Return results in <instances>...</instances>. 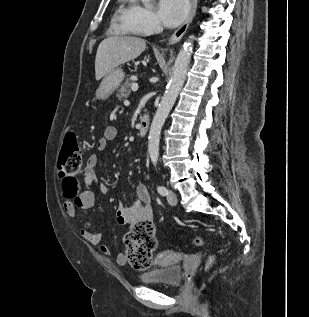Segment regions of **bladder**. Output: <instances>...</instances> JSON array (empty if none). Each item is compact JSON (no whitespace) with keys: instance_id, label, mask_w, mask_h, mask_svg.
<instances>
[{"instance_id":"1","label":"bladder","mask_w":309,"mask_h":317,"mask_svg":"<svg viewBox=\"0 0 309 317\" xmlns=\"http://www.w3.org/2000/svg\"><path fill=\"white\" fill-rule=\"evenodd\" d=\"M183 278L179 265H165L149 270L139 276L143 284H160L168 287H177Z\"/></svg>"}]
</instances>
